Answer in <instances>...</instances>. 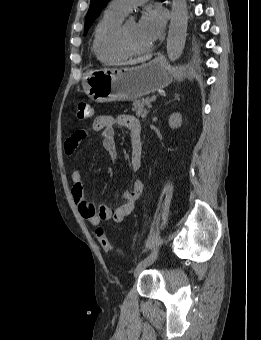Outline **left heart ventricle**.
I'll list each match as a JSON object with an SVG mask.
<instances>
[{
	"label": "left heart ventricle",
	"mask_w": 261,
	"mask_h": 340,
	"mask_svg": "<svg viewBox=\"0 0 261 340\" xmlns=\"http://www.w3.org/2000/svg\"><path fill=\"white\" fill-rule=\"evenodd\" d=\"M126 33L129 43L134 49L140 50L150 46L149 41L140 33L135 21L126 22Z\"/></svg>",
	"instance_id": "left-heart-ventricle-1"
}]
</instances>
